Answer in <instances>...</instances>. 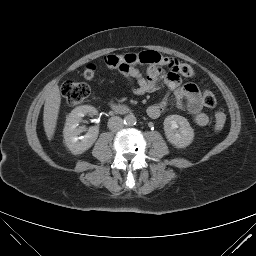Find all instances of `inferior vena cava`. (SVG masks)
Masks as SVG:
<instances>
[{"mask_svg":"<svg viewBox=\"0 0 256 256\" xmlns=\"http://www.w3.org/2000/svg\"><path fill=\"white\" fill-rule=\"evenodd\" d=\"M123 126V120L119 116L111 117L108 120V128L113 132L121 130Z\"/></svg>","mask_w":256,"mask_h":256,"instance_id":"1","label":"inferior vena cava"}]
</instances>
